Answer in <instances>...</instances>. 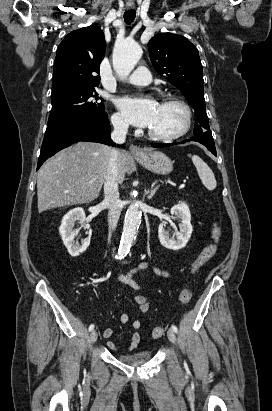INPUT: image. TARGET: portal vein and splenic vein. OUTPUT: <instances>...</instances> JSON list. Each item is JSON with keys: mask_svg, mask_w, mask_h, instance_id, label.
Returning <instances> with one entry per match:
<instances>
[{"mask_svg": "<svg viewBox=\"0 0 272 411\" xmlns=\"http://www.w3.org/2000/svg\"><path fill=\"white\" fill-rule=\"evenodd\" d=\"M185 187V184H181L180 186H179V189H182V188H184Z\"/></svg>", "mask_w": 272, "mask_h": 411, "instance_id": "18ae733b", "label": "portal vein and splenic vein"}]
</instances>
